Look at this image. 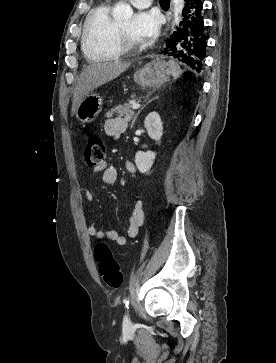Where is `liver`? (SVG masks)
I'll use <instances>...</instances> for the list:
<instances>
[{"label":"liver","mask_w":276,"mask_h":363,"mask_svg":"<svg viewBox=\"0 0 276 363\" xmlns=\"http://www.w3.org/2000/svg\"><path fill=\"white\" fill-rule=\"evenodd\" d=\"M130 64V62L113 61L92 63L84 67L74 90L72 114L76 112L79 103L85 96L94 89L119 77Z\"/></svg>","instance_id":"obj_1"}]
</instances>
